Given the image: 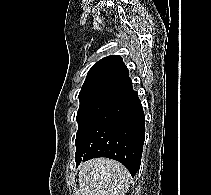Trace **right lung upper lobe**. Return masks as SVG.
I'll use <instances>...</instances> for the list:
<instances>
[{"instance_id": "1", "label": "right lung upper lobe", "mask_w": 211, "mask_h": 195, "mask_svg": "<svg viewBox=\"0 0 211 195\" xmlns=\"http://www.w3.org/2000/svg\"><path fill=\"white\" fill-rule=\"evenodd\" d=\"M129 71L119 55H111L99 60L89 70L80 93L91 91L117 90L131 85Z\"/></svg>"}]
</instances>
